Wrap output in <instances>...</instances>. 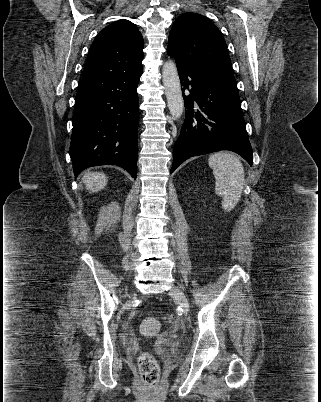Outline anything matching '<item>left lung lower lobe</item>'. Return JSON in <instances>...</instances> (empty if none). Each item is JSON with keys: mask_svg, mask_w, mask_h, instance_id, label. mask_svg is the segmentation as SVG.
Segmentation results:
<instances>
[{"mask_svg": "<svg viewBox=\"0 0 321 402\" xmlns=\"http://www.w3.org/2000/svg\"><path fill=\"white\" fill-rule=\"evenodd\" d=\"M176 65L183 87L185 122L174 146L170 172L190 157L220 150L236 152L252 165V147L234 75L193 68L177 60ZM185 90L190 91L188 96Z\"/></svg>", "mask_w": 321, "mask_h": 402, "instance_id": "left-lung-lower-lobe-1", "label": "left lung lower lobe"}]
</instances>
